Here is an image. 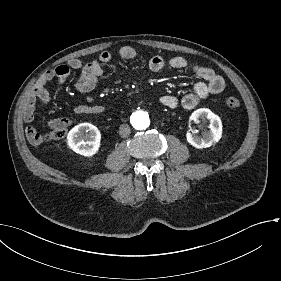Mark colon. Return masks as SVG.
<instances>
[{"mask_svg":"<svg viewBox=\"0 0 281 281\" xmlns=\"http://www.w3.org/2000/svg\"><path fill=\"white\" fill-rule=\"evenodd\" d=\"M226 104L231 108H235L239 106L240 101L236 97H228L226 98ZM67 126V122H55L53 125V131L45 135V140H57L63 138L66 135Z\"/></svg>","mask_w":281,"mask_h":281,"instance_id":"5ec220e1","label":"colon"}]
</instances>
